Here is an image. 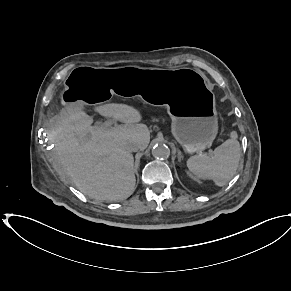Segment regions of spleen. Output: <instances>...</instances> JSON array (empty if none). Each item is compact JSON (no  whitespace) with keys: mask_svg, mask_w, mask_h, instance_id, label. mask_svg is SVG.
Segmentation results:
<instances>
[{"mask_svg":"<svg viewBox=\"0 0 291 291\" xmlns=\"http://www.w3.org/2000/svg\"><path fill=\"white\" fill-rule=\"evenodd\" d=\"M237 132L218 146L213 155H194L187 160V167L199 179L213 180L217 186H224L235 175L241 158V147Z\"/></svg>","mask_w":291,"mask_h":291,"instance_id":"obj_1","label":"spleen"}]
</instances>
